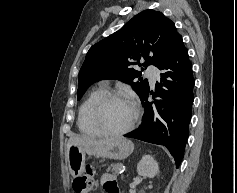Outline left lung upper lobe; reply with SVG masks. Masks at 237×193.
Instances as JSON below:
<instances>
[{"label":"left lung upper lobe","mask_w":237,"mask_h":193,"mask_svg":"<svg viewBox=\"0 0 237 193\" xmlns=\"http://www.w3.org/2000/svg\"><path fill=\"white\" fill-rule=\"evenodd\" d=\"M181 38L174 23L161 12L148 9L137 14L89 49L79 72L78 100L92 83L102 79L131 84L141 99L149 84L142 78L137 80L141 73L131 66L138 64L141 70L148 65L157 67ZM142 58L145 62L140 64Z\"/></svg>","instance_id":"5c2ea615"}]
</instances>
